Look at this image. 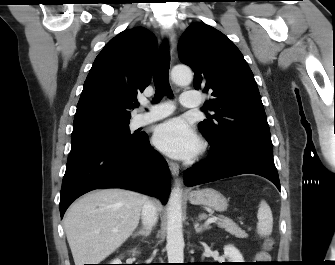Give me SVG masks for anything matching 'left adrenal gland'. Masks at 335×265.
<instances>
[{"label":"left adrenal gland","mask_w":335,"mask_h":265,"mask_svg":"<svg viewBox=\"0 0 335 265\" xmlns=\"http://www.w3.org/2000/svg\"><path fill=\"white\" fill-rule=\"evenodd\" d=\"M194 228L196 233H200L203 232L204 230L210 229L211 227L208 225H199L198 222H195Z\"/></svg>","instance_id":"left-adrenal-gland-1"}]
</instances>
